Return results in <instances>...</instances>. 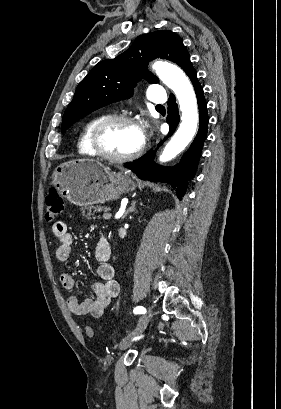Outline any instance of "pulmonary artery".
<instances>
[{"label": "pulmonary artery", "mask_w": 281, "mask_h": 409, "mask_svg": "<svg viewBox=\"0 0 281 409\" xmlns=\"http://www.w3.org/2000/svg\"><path fill=\"white\" fill-rule=\"evenodd\" d=\"M146 97L150 99L151 103H165L167 96L165 95V87L162 86L161 81H149L147 83Z\"/></svg>", "instance_id": "pulmonary-artery-1"}]
</instances>
